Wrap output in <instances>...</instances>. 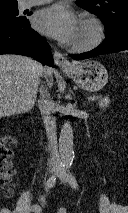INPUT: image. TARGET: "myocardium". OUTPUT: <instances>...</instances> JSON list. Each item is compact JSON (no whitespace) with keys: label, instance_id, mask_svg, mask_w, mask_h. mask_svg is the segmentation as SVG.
I'll return each instance as SVG.
<instances>
[{"label":"myocardium","instance_id":"1","mask_svg":"<svg viewBox=\"0 0 128 213\" xmlns=\"http://www.w3.org/2000/svg\"><path fill=\"white\" fill-rule=\"evenodd\" d=\"M80 22L89 25L93 30V35L84 43H73L71 49L76 52L90 51L100 45L103 41L104 26L102 22L92 14H83Z\"/></svg>","mask_w":128,"mask_h":213}]
</instances>
